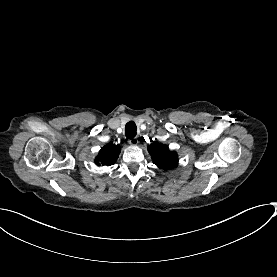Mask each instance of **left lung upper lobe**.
<instances>
[{
	"label": "left lung upper lobe",
	"mask_w": 277,
	"mask_h": 277,
	"mask_svg": "<svg viewBox=\"0 0 277 277\" xmlns=\"http://www.w3.org/2000/svg\"><path fill=\"white\" fill-rule=\"evenodd\" d=\"M148 152L152 157L153 163L164 170L173 169L178 165V155L170 151L167 145L152 142L148 146Z\"/></svg>",
	"instance_id": "1"
}]
</instances>
